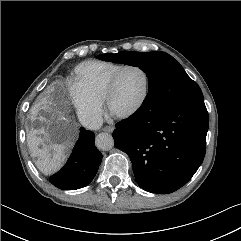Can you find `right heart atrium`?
<instances>
[{
  "label": "right heart atrium",
  "instance_id": "right-heart-atrium-1",
  "mask_svg": "<svg viewBox=\"0 0 241 241\" xmlns=\"http://www.w3.org/2000/svg\"><path fill=\"white\" fill-rule=\"evenodd\" d=\"M70 99L80 121L89 128H96L103 117L102 102L92 98L76 82L70 87Z\"/></svg>",
  "mask_w": 241,
  "mask_h": 241
}]
</instances>
